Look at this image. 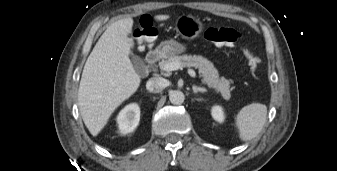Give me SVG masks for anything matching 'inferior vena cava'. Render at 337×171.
I'll return each instance as SVG.
<instances>
[{"label":"inferior vena cava","mask_w":337,"mask_h":171,"mask_svg":"<svg viewBox=\"0 0 337 171\" xmlns=\"http://www.w3.org/2000/svg\"><path fill=\"white\" fill-rule=\"evenodd\" d=\"M165 87V79L161 77H152L146 83V88L148 91L153 93L161 92Z\"/></svg>","instance_id":"inferior-vena-cava-1"}]
</instances>
